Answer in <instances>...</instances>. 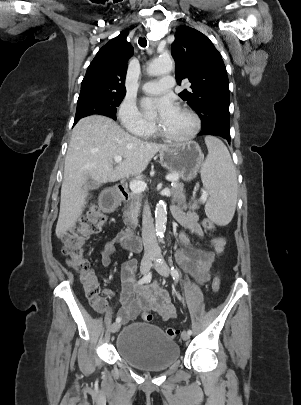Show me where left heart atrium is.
I'll return each instance as SVG.
<instances>
[{
    "label": "left heart atrium",
    "instance_id": "left-heart-atrium-1",
    "mask_svg": "<svg viewBox=\"0 0 301 405\" xmlns=\"http://www.w3.org/2000/svg\"><path fill=\"white\" fill-rule=\"evenodd\" d=\"M142 104L145 108L156 109L159 113L160 119L167 118L178 110V107L171 96L145 98Z\"/></svg>",
    "mask_w": 301,
    "mask_h": 405
}]
</instances>
